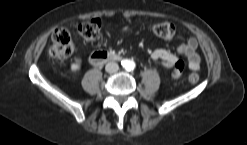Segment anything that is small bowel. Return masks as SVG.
Masks as SVG:
<instances>
[{
  "label": "small bowel",
  "mask_w": 247,
  "mask_h": 145,
  "mask_svg": "<svg viewBox=\"0 0 247 145\" xmlns=\"http://www.w3.org/2000/svg\"><path fill=\"white\" fill-rule=\"evenodd\" d=\"M197 40L195 38H190L187 42L181 44L177 48V52L180 55H184L187 58L188 68L192 72H197L200 67V56L197 53ZM151 58L155 61H162L165 67H172L176 61H178V56L165 49H156L151 53Z\"/></svg>",
  "instance_id": "obj_1"
}]
</instances>
